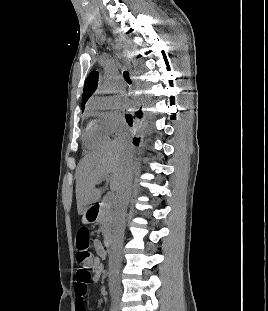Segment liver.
Instances as JSON below:
<instances>
[{"label":"liver","mask_w":268,"mask_h":311,"mask_svg":"<svg viewBox=\"0 0 268 311\" xmlns=\"http://www.w3.org/2000/svg\"><path fill=\"white\" fill-rule=\"evenodd\" d=\"M131 161L132 147L118 140L85 156L78 165L76 175L78 214L85 213L88 205L100 200L104 189H97L95 185L105 177L110 178V188L117 194Z\"/></svg>","instance_id":"obj_1"}]
</instances>
